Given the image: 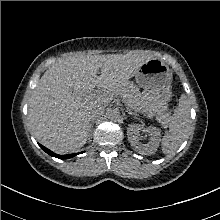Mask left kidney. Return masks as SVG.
<instances>
[{
    "label": "left kidney",
    "instance_id": "1",
    "mask_svg": "<svg viewBox=\"0 0 220 220\" xmlns=\"http://www.w3.org/2000/svg\"><path fill=\"white\" fill-rule=\"evenodd\" d=\"M141 131L147 132L150 136L147 144L139 142ZM127 135L131 146L136 152L143 155H152L157 151L161 133L156 127L144 128L139 124H130L127 128Z\"/></svg>",
    "mask_w": 220,
    "mask_h": 220
}]
</instances>
